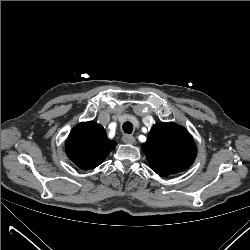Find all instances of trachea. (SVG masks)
Here are the masks:
<instances>
[{
    "instance_id": "trachea-1",
    "label": "trachea",
    "mask_w": 250,
    "mask_h": 250,
    "mask_svg": "<svg viewBox=\"0 0 250 250\" xmlns=\"http://www.w3.org/2000/svg\"><path fill=\"white\" fill-rule=\"evenodd\" d=\"M124 133L131 134L133 131V125L131 122H125L122 126Z\"/></svg>"
}]
</instances>
